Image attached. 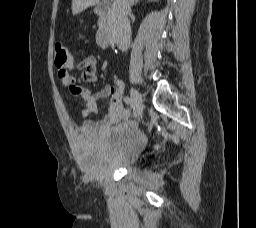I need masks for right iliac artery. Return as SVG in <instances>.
<instances>
[{
	"instance_id": "82829eb1",
	"label": "right iliac artery",
	"mask_w": 256,
	"mask_h": 228,
	"mask_svg": "<svg viewBox=\"0 0 256 228\" xmlns=\"http://www.w3.org/2000/svg\"><path fill=\"white\" fill-rule=\"evenodd\" d=\"M124 102L128 105H131V106L133 105L132 104V99L128 96L124 97Z\"/></svg>"
}]
</instances>
